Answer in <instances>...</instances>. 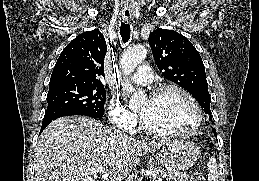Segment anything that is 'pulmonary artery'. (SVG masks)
Listing matches in <instances>:
<instances>
[{
	"label": "pulmonary artery",
	"instance_id": "1",
	"mask_svg": "<svg viewBox=\"0 0 259 181\" xmlns=\"http://www.w3.org/2000/svg\"><path fill=\"white\" fill-rule=\"evenodd\" d=\"M136 84L146 85L152 82V70L148 65H142L139 71L130 78Z\"/></svg>",
	"mask_w": 259,
	"mask_h": 181
}]
</instances>
